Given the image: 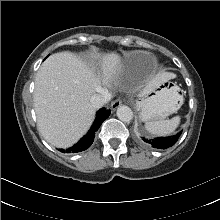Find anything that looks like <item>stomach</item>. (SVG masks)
Here are the masks:
<instances>
[{
  "label": "stomach",
  "mask_w": 220,
  "mask_h": 220,
  "mask_svg": "<svg viewBox=\"0 0 220 220\" xmlns=\"http://www.w3.org/2000/svg\"><path fill=\"white\" fill-rule=\"evenodd\" d=\"M179 91V87L170 81L159 83L137 103L140 118L143 121L162 120L177 112L183 103Z\"/></svg>",
  "instance_id": "stomach-1"
}]
</instances>
